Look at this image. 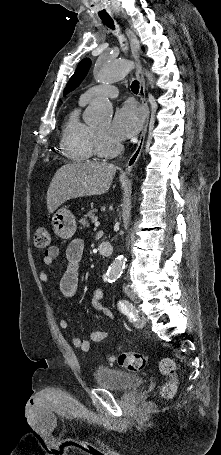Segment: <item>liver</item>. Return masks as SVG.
Returning <instances> with one entry per match:
<instances>
[{
  "instance_id": "6515ba94",
  "label": "liver",
  "mask_w": 221,
  "mask_h": 455,
  "mask_svg": "<svg viewBox=\"0 0 221 455\" xmlns=\"http://www.w3.org/2000/svg\"><path fill=\"white\" fill-rule=\"evenodd\" d=\"M116 173L104 162L68 163L60 167L47 191V209L53 213L67 200L106 193Z\"/></svg>"
}]
</instances>
